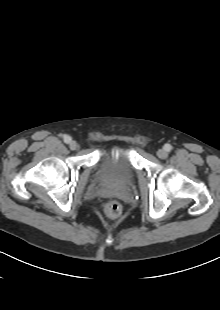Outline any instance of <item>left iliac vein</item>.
<instances>
[{"label": "left iliac vein", "instance_id": "1", "mask_svg": "<svg viewBox=\"0 0 220 310\" xmlns=\"http://www.w3.org/2000/svg\"><path fill=\"white\" fill-rule=\"evenodd\" d=\"M156 154L161 159H165L168 156V153L164 149H159Z\"/></svg>", "mask_w": 220, "mask_h": 310}]
</instances>
